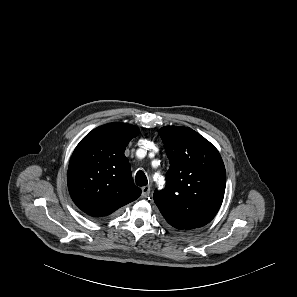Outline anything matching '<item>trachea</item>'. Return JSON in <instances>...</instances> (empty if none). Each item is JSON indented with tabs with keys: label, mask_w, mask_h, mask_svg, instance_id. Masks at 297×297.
Wrapping results in <instances>:
<instances>
[{
	"label": "trachea",
	"mask_w": 297,
	"mask_h": 297,
	"mask_svg": "<svg viewBox=\"0 0 297 297\" xmlns=\"http://www.w3.org/2000/svg\"><path fill=\"white\" fill-rule=\"evenodd\" d=\"M135 181H136V184L139 186H144L148 183L147 177L143 171H138L136 173Z\"/></svg>",
	"instance_id": "obj_1"
}]
</instances>
